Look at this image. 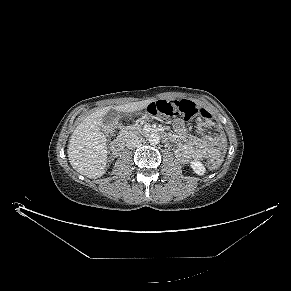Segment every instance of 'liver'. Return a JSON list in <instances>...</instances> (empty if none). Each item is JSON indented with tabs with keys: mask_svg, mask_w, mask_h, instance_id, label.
<instances>
[{
	"mask_svg": "<svg viewBox=\"0 0 291 291\" xmlns=\"http://www.w3.org/2000/svg\"><path fill=\"white\" fill-rule=\"evenodd\" d=\"M151 99L131 102L115 107H104L87 116L74 130L69 139L68 158L78 173L91 179L105 173L107 162L106 136L101 132L102 117L110 109L124 113H133L147 107Z\"/></svg>",
	"mask_w": 291,
	"mask_h": 291,
	"instance_id": "6515ba94",
	"label": "liver"
}]
</instances>
